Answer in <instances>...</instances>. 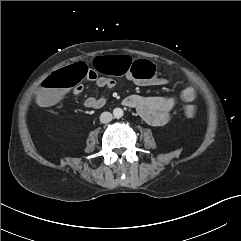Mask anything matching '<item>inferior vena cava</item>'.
I'll return each instance as SVG.
<instances>
[{
    "instance_id": "1",
    "label": "inferior vena cava",
    "mask_w": 241,
    "mask_h": 241,
    "mask_svg": "<svg viewBox=\"0 0 241 241\" xmlns=\"http://www.w3.org/2000/svg\"><path fill=\"white\" fill-rule=\"evenodd\" d=\"M113 119V116L110 112H103L101 115H100V122L101 123H109L111 122Z\"/></svg>"
}]
</instances>
